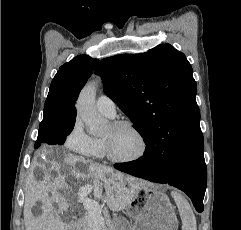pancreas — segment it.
Wrapping results in <instances>:
<instances>
[{
	"label": "pancreas",
	"instance_id": "pancreas-1",
	"mask_svg": "<svg viewBox=\"0 0 241 230\" xmlns=\"http://www.w3.org/2000/svg\"><path fill=\"white\" fill-rule=\"evenodd\" d=\"M71 230H117L114 223H105L103 227H96L89 222V214L86 212L73 226Z\"/></svg>",
	"mask_w": 241,
	"mask_h": 230
}]
</instances>
